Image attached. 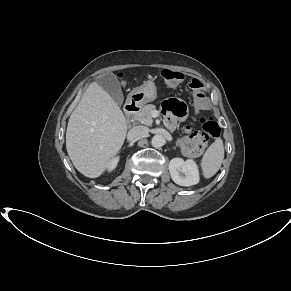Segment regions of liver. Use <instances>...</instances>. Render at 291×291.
Here are the masks:
<instances>
[{"instance_id":"liver-1","label":"liver","mask_w":291,"mask_h":291,"mask_svg":"<svg viewBox=\"0 0 291 291\" xmlns=\"http://www.w3.org/2000/svg\"><path fill=\"white\" fill-rule=\"evenodd\" d=\"M128 125L118 104L93 82L72 112L66 131V148L75 168L97 178L120 151Z\"/></svg>"}]
</instances>
